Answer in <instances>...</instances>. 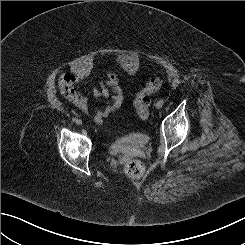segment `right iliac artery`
I'll return each instance as SVG.
<instances>
[{"label": "right iliac artery", "mask_w": 245, "mask_h": 245, "mask_svg": "<svg viewBox=\"0 0 245 245\" xmlns=\"http://www.w3.org/2000/svg\"><path fill=\"white\" fill-rule=\"evenodd\" d=\"M72 121H73V122H76V121H77V118L73 117V118H72Z\"/></svg>", "instance_id": "82829eb1"}]
</instances>
